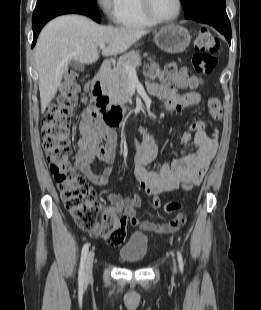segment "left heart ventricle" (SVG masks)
Masks as SVG:
<instances>
[{
    "instance_id": "left-heart-ventricle-1",
    "label": "left heart ventricle",
    "mask_w": 261,
    "mask_h": 310,
    "mask_svg": "<svg viewBox=\"0 0 261 310\" xmlns=\"http://www.w3.org/2000/svg\"><path fill=\"white\" fill-rule=\"evenodd\" d=\"M151 8L158 18H171L177 11V0H151Z\"/></svg>"
}]
</instances>
